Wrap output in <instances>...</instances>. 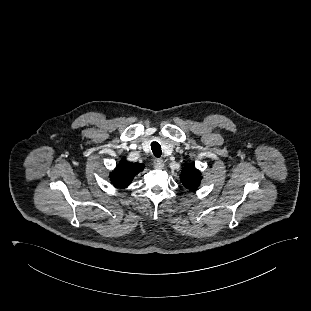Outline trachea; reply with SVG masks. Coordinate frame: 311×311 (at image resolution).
<instances>
[{
	"instance_id": "trachea-1",
	"label": "trachea",
	"mask_w": 311,
	"mask_h": 311,
	"mask_svg": "<svg viewBox=\"0 0 311 311\" xmlns=\"http://www.w3.org/2000/svg\"><path fill=\"white\" fill-rule=\"evenodd\" d=\"M151 149L155 157L159 158L162 154L161 146L158 142L151 143Z\"/></svg>"
}]
</instances>
